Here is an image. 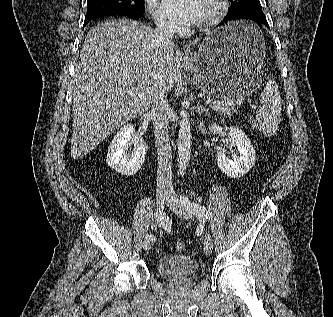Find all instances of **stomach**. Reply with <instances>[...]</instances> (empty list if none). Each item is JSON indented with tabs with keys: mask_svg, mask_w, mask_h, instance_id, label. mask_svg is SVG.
<instances>
[{
	"mask_svg": "<svg viewBox=\"0 0 333 317\" xmlns=\"http://www.w3.org/2000/svg\"><path fill=\"white\" fill-rule=\"evenodd\" d=\"M265 40L261 24L235 21L209 34L185 67L203 92L225 101L261 95L270 75H264Z\"/></svg>",
	"mask_w": 333,
	"mask_h": 317,
	"instance_id": "0dacf381",
	"label": "stomach"
}]
</instances>
